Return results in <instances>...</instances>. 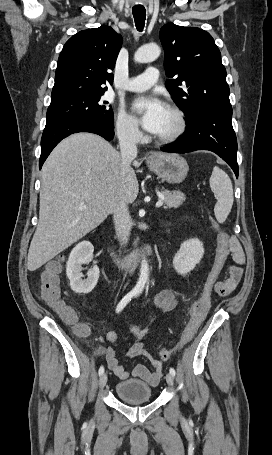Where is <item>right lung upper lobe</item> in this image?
<instances>
[{"label":"right lung upper lobe","instance_id":"cb5924a9","mask_svg":"<svg viewBox=\"0 0 272 455\" xmlns=\"http://www.w3.org/2000/svg\"><path fill=\"white\" fill-rule=\"evenodd\" d=\"M122 37L111 27L83 30L64 45L58 59L51 101L70 96L104 94L113 83Z\"/></svg>","mask_w":272,"mask_h":455}]
</instances>
